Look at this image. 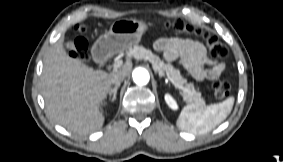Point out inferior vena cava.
I'll return each instance as SVG.
<instances>
[{
  "instance_id": "602c4592",
  "label": "inferior vena cava",
  "mask_w": 283,
  "mask_h": 162,
  "mask_svg": "<svg viewBox=\"0 0 283 162\" xmlns=\"http://www.w3.org/2000/svg\"><path fill=\"white\" fill-rule=\"evenodd\" d=\"M125 78V73L117 72L112 75L111 82L115 85H120Z\"/></svg>"
}]
</instances>
